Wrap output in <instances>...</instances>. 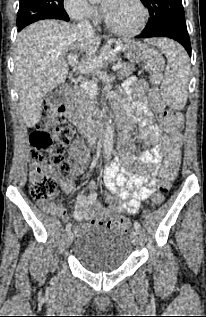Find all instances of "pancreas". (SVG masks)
I'll list each match as a JSON object with an SVG mask.
<instances>
[{
	"mask_svg": "<svg viewBox=\"0 0 206 317\" xmlns=\"http://www.w3.org/2000/svg\"><path fill=\"white\" fill-rule=\"evenodd\" d=\"M135 66L131 62L122 63L117 75L119 79H124L133 74ZM74 103L78 108L79 119H89L95 113V106L97 103L96 97L86 93L81 87H77L74 93Z\"/></svg>",
	"mask_w": 206,
	"mask_h": 317,
	"instance_id": "cf45deb5",
	"label": "pancreas"
}]
</instances>
